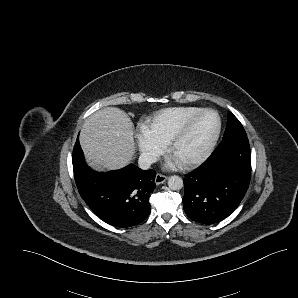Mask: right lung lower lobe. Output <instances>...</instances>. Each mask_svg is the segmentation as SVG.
<instances>
[{"instance_id": "right-lung-lower-lobe-1", "label": "right lung lower lobe", "mask_w": 298, "mask_h": 298, "mask_svg": "<svg viewBox=\"0 0 298 298\" xmlns=\"http://www.w3.org/2000/svg\"><path fill=\"white\" fill-rule=\"evenodd\" d=\"M72 160L81 197L104 222L130 227L149 216V197L156 187L154 170L130 164L115 171L96 172L86 165L78 139Z\"/></svg>"}]
</instances>
